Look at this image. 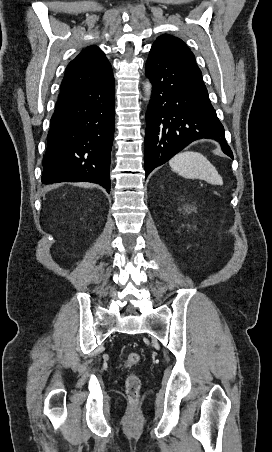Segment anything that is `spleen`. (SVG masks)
Listing matches in <instances>:
<instances>
[{"label": "spleen", "instance_id": "1", "mask_svg": "<svg viewBox=\"0 0 272 452\" xmlns=\"http://www.w3.org/2000/svg\"><path fill=\"white\" fill-rule=\"evenodd\" d=\"M174 172L189 179H202L210 184L222 185L223 180L209 160L198 152H180L170 161Z\"/></svg>", "mask_w": 272, "mask_h": 452}]
</instances>
